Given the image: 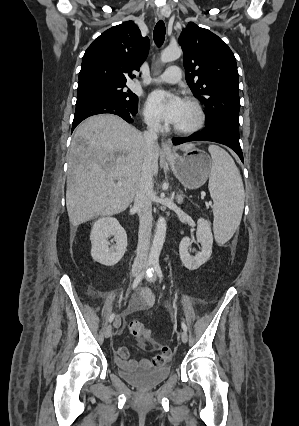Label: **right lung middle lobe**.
Listing matches in <instances>:
<instances>
[{
	"label": "right lung middle lobe",
	"mask_w": 299,
	"mask_h": 426,
	"mask_svg": "<svg viewBox=\"0 0 299 426\" xmlns=\"http://www.w3.org/2000/svg\"><path fill=\"white\" fill-rule=\"evenodd\" d=\"M126 84L116 83H92L78 86L77 97L83 95H98L110 98L126 107H136L138 105V97L126 90Z\"/></svg>",
	"instance_id": "1"
}]
</instances>
